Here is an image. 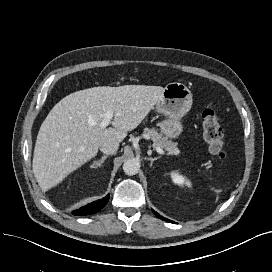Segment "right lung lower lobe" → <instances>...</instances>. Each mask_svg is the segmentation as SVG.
<instances>
[{"instance_id":"98d812e1","label":"right lung lower lobe","mask_w":272,"mask_h":272,"mask_svg":"<svg viewBox=\"0 0 272 272\" xmlns=\"http://www.w3.org/2000/svg\"><path fill=\"white\" fill-rule=\"evenodd\" d=\"M108 200H109V194L103 199L94 201L76 211H73L72 214L82 216V215H89V214L96 213L107 204Z\"/></svg>"}]
</instances>
